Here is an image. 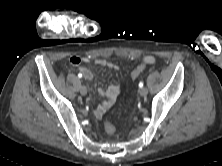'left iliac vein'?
I'll use <instances>...</instances> for the list:
<instances>
[{
    "label": "left iliac vein",
    "mask_w": 222,
    "mask_h": 166,
    "mask_svg": "<svg viewBox=\"0 0 222 166\" xmlns=\"http://www.w3.org/2000/svg\"><path fill=\"white\" fill-rule=\"evenodd\" d=\"M147 93H148V90H147V88H145V87H143V88H141L140 90H139V94L141 95V96H146L147 95Z\"/></svg>",
    "instance_id": "left-iliac-vein-1"
}]
</instances>
